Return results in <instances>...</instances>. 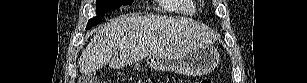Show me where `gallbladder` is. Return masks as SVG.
Masks as SVG:
<instances>
[{
    "instance_id": "bac80fb5",
    "label": "gallbladder",
    "mask_w": 307,
    "mask_h": 83,
    "mask_svg": "<svg viewBox=\"0 0 307 83\" xmlns=\"http://www.w3.org/2000/svg\"><path fill=\"white\" fill-rule=\"evenodd\" d=\"M94 79L93 78H87L86 82L91 83Z\"/></svg>"
}]
</instances>
